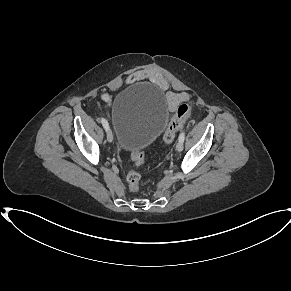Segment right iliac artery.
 <instances>
[{
  "label": "right iliac artery",
  "instance_id": "obj_1",
  "mask_svg": "<svg viewBox=\"0 0 291 291\" xmlns=\"http://www.w3.org/2000/svg\"><path fill=\"white\" fill-rule=\"evenodd\" d=\"M101 123L106 130L109 128V125L106 119L101 118Z\"/></svg>",
  "mask_w": 291,
  "mask_h": 291
}]
</instances>
